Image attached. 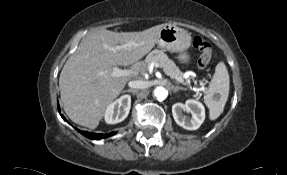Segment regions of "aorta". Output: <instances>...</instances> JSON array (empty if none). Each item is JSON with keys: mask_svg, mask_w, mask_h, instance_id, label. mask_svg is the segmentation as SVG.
I'll list each match as a JSON object with an SVG mask.
<instances>
[{"mask_svg": "<svg viewBox=\"0 0 287 175\" xmlns=\"http://www.w3.org/2000/svg\"><path fill=\"white\" fill-rule=\"evenodd\" d=\"M167 94H168L167 90L162 86H158L154 90V96L159 101H163L167 97Z\"/></svg>", "mask_w": 287, "mask_h": 175, "instance_id": "762f6f07", "label": "aorta"}]
</instances>
